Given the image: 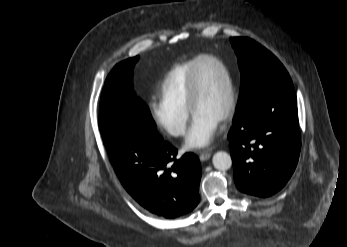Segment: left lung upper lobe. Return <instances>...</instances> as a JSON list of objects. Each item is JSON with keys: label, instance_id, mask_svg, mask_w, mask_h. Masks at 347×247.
I'll use <instances>...</instances> for the list:
<instances>
[{"label": "left lung upper lobe", "instance_id": "left-lung-upper-lobe-1", "mask_svg": "<svg viewBox=\"0 0 347 247\" xmlns=\"http://www.w3.org/2000/svg\"><path fill=\"white\" fill-rule=\"evenodd\" d=\"M238 56L241 86L236 113L247 109L262 92L273 86L292 83L282 63L250 38H230Z\"/></svg>", "mask_w": 347, "mask_h": 247}]
</instances>
